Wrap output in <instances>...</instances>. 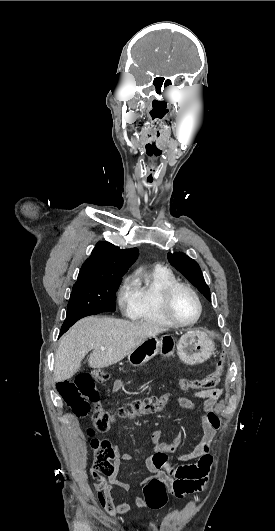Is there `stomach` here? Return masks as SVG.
<instances>
[{"label":"stomach","mask_w":275,"mask_h":531,"mask_svg":"<svg viewBox=\"0 0 275 531\" xmlns=\"http://www.w3.org/2000/svg\"><path fill=\"white\" fill-rule=\"evenodd\" d=\"M175 347L177 355L185 365H201L210 359L215 351V343L208 337L204 331L191 329L185 335H182L177 345L174 337L171 335H162V337H148L138 347L132 349L128 355V363L133 367H142L153 359L155 355H164L171 357L174 355Z\"/></svg>","instance_id":"0dacf381"}]
</instances>
